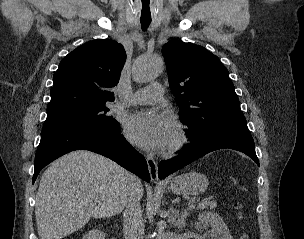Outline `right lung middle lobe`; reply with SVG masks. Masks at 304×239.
<instances>
[{
    "label": "right lung middle lobe",
    "mask_w": 304,
    "mask_h": 239,
    "mask_svg": "<svg viewBox=\"0 0 304 239\" xmlns=\"http://www.w3.org/2000/svg\"><path fill=\"white\" fill-rule=\"evenodd\" d=\"M108 108L104 106L76 110L68 113L47 116L42 131L82 128L101 131H115L120 124L107 116Z\"/></svg>",
    "instance_id": "dd1d6c3e"
}]
</instances>
